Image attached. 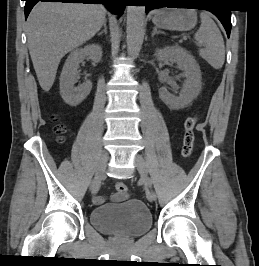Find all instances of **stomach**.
I'll return each mask as SVG.
<instances>
[{"instance_id": "0dacf381", "label": "stomach", "mask_w": 259, "mask_h": 266, "mask_svg": "<svg viewBox=\"0 0 259 266\" xmlns=\"http://www.w3.org/2000/svg\"><path fill=\"white\" fill-rule=\"evenodd\" d=\"M152 21L162 29L188 31L195 27L197 14L192 9H160L154 12Z\"/></svg>"}]
</instances>
